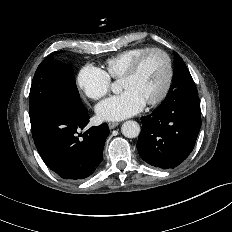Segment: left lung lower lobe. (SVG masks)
I'll use <instances>...</instances> for the list:
<instances>
[{"label": "left lung lower lobe", "mask_w": 232, "mask_h": 232, "mask_svg": "<svg viewBox=\"0 0 232 232\" xmlns=\"http://www.w3.org/2000/svg\"><path fill=\"white\" fill-rule=\"evenodd\" d=\"M137 149L156 168L173 169L192 152L200 127L198 96L167 97L150 115L141 117Z\"/></svg>", "instance_id": "left-lung-lower-lobe-1"}]
</instances>
